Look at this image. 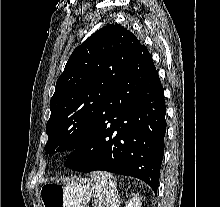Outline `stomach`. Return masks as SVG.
Instances as JSON below:
<instances>
[{
  "label": "stomach",
  "instance_id": "obj_1",
  "mask_svg": "<svg viewBox=\"0 0 220 207\" xmlns=\"http://www.w3.org/2000/svg\"><path fill=\"white\" fill-rule=\"evenodd\" d=\"M94 190L91 180L71 177L64 182L43 184L39 194L43 207H85Z\"/></svg>",
  "mask_w": 220,
  "mask_h": 207
}]
</instances>
